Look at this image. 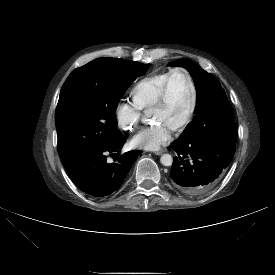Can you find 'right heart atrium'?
I'll list each match as a JSON object with an SVG mask.
<instances>
[{
  "label": "right heart atrium",
  "mask_w": 275,
  "mask_h": 275,
  "mask_svg": "<svg viewBox=\"0 0 275 275\" xmlns=\"http://www.w3.org/2000/svg\"><path fill=\"white\" fill-rule=\"evenodd\" d=\"M141 117L142 110L134 103L120 100L114 108V118L118 126L125 131H133L138 126Z\"/></svg>",
  "instance_id": "d8ad5b80"
}]
</instances>
